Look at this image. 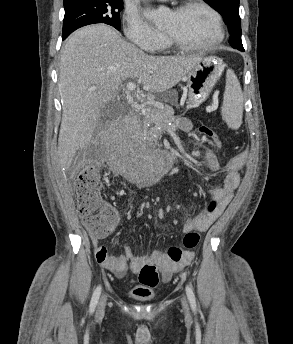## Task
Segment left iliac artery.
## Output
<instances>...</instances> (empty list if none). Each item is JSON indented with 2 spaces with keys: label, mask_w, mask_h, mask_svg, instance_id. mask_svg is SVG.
<instances>
[{
  "label": "left iliac artery",
  "mask_w": 293,
  "mask_h": 344,
  "mask_svg": "<svg viewBox=\"0 0 293 344\" xmlns=\"http://www.w3.org/2000/svg\"><path fill=\"white\" fill-rule=\"evenodd\" d=\"M186 294H187V297H188V300L190 302V305H191V308L194 312H196V300H195V295L193 293V290L192 288L187 285L186 286Z\"/></svg>",
  "instance_id": "1"
}]
</instances>
